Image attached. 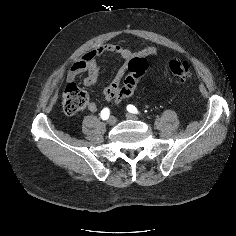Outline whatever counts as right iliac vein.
<instances>
[{
    "mask_svg": "<svg viewBox=\"0 0 236 236\" xmlns=\"http://www.w3.org/2000/svg\"><path fill=\"white\" fill-rule=\"evenodd\" d=\"M116 123V118L114 116H111L109 119H108V124L113 126L114 124Z\"/></svg>",
    "mask_w": 236,
    "mask_h": 236,
    "instance_id": "right-iliac-vein-1",
    "label": "right iliac vein"
}]
</instances>
